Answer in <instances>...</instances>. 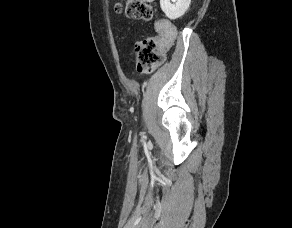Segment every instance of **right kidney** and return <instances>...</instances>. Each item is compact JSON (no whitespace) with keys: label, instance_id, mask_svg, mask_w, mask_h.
Here are the masks:
<instances>
[{"label":"right kidney","instance_id":"obj_1","mask_svg":"<svg viewBox=\"0 0 292 228\" xmlns=\"http://www.w3.org/2000/svg\"><path fill=\"white\" fill-rule=\"evenodd\" d=\"M191 0H160V6L165 15L171 19H177L185 14Z\"/></svg>","mask_w":292,"mask_h":228}]
</instances>
